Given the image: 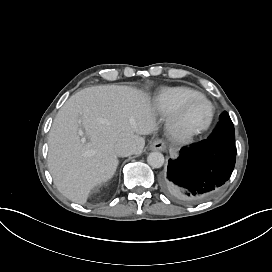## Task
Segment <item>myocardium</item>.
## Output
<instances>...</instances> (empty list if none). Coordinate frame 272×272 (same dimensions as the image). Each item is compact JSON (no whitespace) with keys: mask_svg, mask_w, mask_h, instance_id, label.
Returning <instances> with one entry per match:
<instances>
[{"mask_svg":"<svg viewBox=\"0 0 272 272\" xmlns=\"http://www.w3.org/2000/svg\"><path fill=\"white\" fill-rule=\"evenodd\" d=\"M197 98L203 99L209 104L210 109H211V115H210L209 121L204 126H201V127L183 128L181 126L179 118L174 116L172 118V120H171V123H172L171 128H172V130H173V132L175 134H178V135H196V134H200L202 132L207 131L212 126V124H213V122L215 120V117H216V107H215L214 103L208 97H206L204 94L199 93L196 96H193V97H190V98H187V99L183 100L178 105L176 111H180V113H182L183 110L185 109V107L188 106L190 103H192Z\"/></svg>","mask_w":272,"mask_h":272,"instance_id":"f54148a6","label":"myocardium"}]
</instances>
